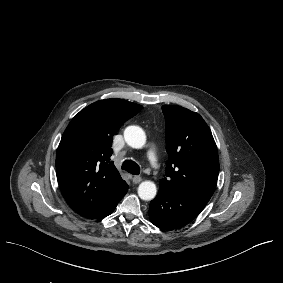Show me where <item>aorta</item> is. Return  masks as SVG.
<instances>
[{
	"mask_svg": "<svg viewBox=\"0 0 283 283\" xmlns=\"http://www.w3.org/2000/svg\"><path fill=\"white\" fill-rule=\"evenodd\" d=\"M126 143L135 149H141L146 143V134L138 126H128L124 131ZM157 187L152 181H144L138 187V195L142 200H153L156 196Z\"/></svg>",
	"mask_w": 283,
	"mask_h": 283,
	"instance_id": "762f6f07",
	"label": "aorta"
}]
</instances>
